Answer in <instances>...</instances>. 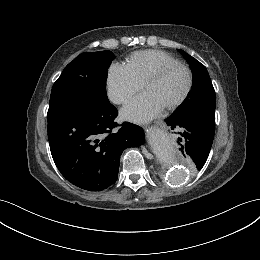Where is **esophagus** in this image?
<instances>
[{"label":"esophagus","mask_w":260,"mask_h":260,"mask_svg":"<svg viewBox=\"0 0 260 260\" xmlns=\"http://www.w3.org/2000/svg\"><path fill=\"white\" fill-rule=\"evenodd\" d=\"M159 123H160L159 121L155 122L154 128L158 127Z\"/></svg>","instance_id":"34e87169"}]
</instances>
